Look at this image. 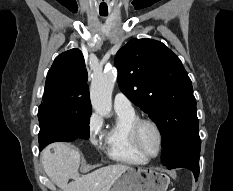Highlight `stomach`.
<instances>
[{
    "instance_id": "stomach-1",
    "label": "stomach",
    "mask_w": 233,
    "mask_h": 191,
    "mask_svg": "<svg viewBox=\"0 0 233 191\" xmlns=\"http://www.w3.org/2000/svg\"><path fill=\"white\" fill-rule=\"evenodd\" d=\"M169 177L155 169L129 167L102 191H167Z\"/></svg>"
}]
</instances>
